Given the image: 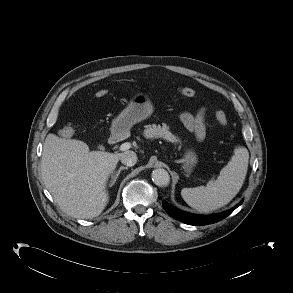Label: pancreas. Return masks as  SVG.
<instances>
[{
	"label": "pancreas",
	"instance_id": "pancreas-1",
	"mask_svg": "<svg viewBox=\"0 0 293 293\" xmlns=\"http://www.w3.org/2000/svg\"><path fill=\"white\" fill-rule=\"evenodd\" d=\"M169 127L167 125H146L144 130V137L145 138H164L172 143H177L180 140L174 136L169 130Z\"/></svg>",
	"mask_w": 293,
	"mask_h": 293
}]
</instances>
